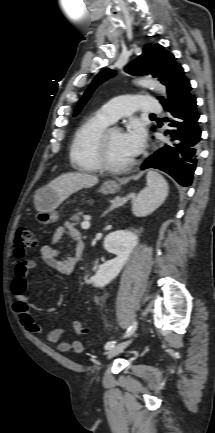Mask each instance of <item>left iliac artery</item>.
I'll list each match as a JSON object with an SVG mask.
<instances>
[{"label": "left iliac artery", "mask_w": 215, "mask_h": 433, "mask_svg": "<svg viewBox=\"0 0 215 433\" xmlns=\"http://www.w3.org/2000/svg\"><path fill=\"white\" fill-rule=\"evenodd\" d=\"M136 327H137V322L134 321V322L132 323V325L128 328L127 332L124 334L123 337L125 338V337L130 336V335L135 331ZM115 344H116V341H110V342L106 343V345H105V349H106V350H109V349H111L112 347H114Z\"/></svg>", "instance_id": "44dca946"}]
</instances>
